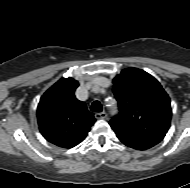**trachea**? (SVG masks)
I'll return each mask as SVG.
<instances>
[{
	"label": "trachea",
	"instance_id": "trachea-1",
	"mask_svg": "<svg viewBox=\"0 0 190 188\" xmlns=\"http://www.w3.org/2000/svg\"><path fill=\"white\" fill-rule=\"evenodd\" d=\"M90 110L93 112H102V105L99 101H94L91 104Z\"/></svg>",
	"mask_w": 190,
	"mask_h": 188
}]
</instances>
